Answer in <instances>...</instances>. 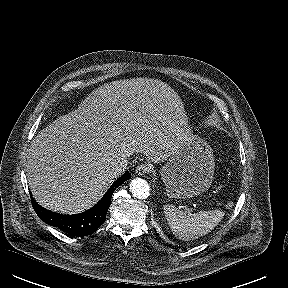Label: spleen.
Masks as SVG:
<instances>
[{"label":"spleen","instance_id":"1","mask_svg":"<svg viewBox=\"0 0 288 288\" xmlns=\"http://www.w3.org/2000/svg\"><path fill=\"white\" fill-rule=\"evenodd\" d=\"M164 215L173 234L186 241L208 234L221 221L224 212L217 209L186 214L173 205H165Z\"/></svg>","mask_w":288,"mask_h":288}]
</instances>
